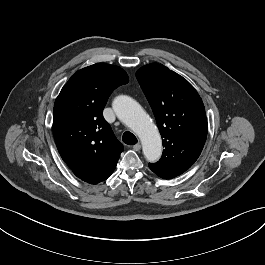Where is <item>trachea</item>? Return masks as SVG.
I'll return each mask as SVG.
<instances>
[{"label":"trachea","instance_id":"trachea-1","mask_svg":"<svg viewBox=\"0 0 265 265\" xmlns=\"http://www.w3.org/2000/svg\"><path fill=\"white\" fill-rule=\"evenodd\" d=\"M122 140L125 144H128V145H135L138 142L135 135L129 131H126L123 134Z\"/></svg>","mask_w":265,"mask_h":265}]
</instances>
